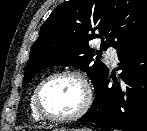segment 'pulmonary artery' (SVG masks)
I'll return each mask as SVG.
<instances>
[{"label":"pulmonary artery","instance_id":"pulmonary-artery-1","mask_svg":"<svg viewBox=\"0 0 147 131\" xmlns=\"http://www.w3.org/2000/svg\"><path fill=\"white\" fill-rule=\"evenodd\" d=\"M106 57L109 58L113 66H116L118 63V55L114 48H108L105 53Z\"/></svg>","mask_w":147,"mask_h":131}]
</instances>
